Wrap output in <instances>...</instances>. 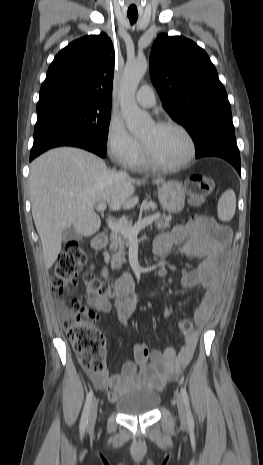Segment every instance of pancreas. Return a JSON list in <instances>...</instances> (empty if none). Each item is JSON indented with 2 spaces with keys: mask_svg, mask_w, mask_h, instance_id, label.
Wrapping results in <instances>:
<instances>
[{
  "mask_svg": "<svg viewBox=\"0 0 263 465\" xmlns=\"http://www.w3.org/2000/svg\"><path fill=\"white\" fill-rule=\"evenodd\" d=\"M156 215H159L158 213ZM143 219H140L141 221ZM170 216H163L161 218L155 219V228L157 230H165L170 227ZM128 227H132V224H127ZM129 246V238L119 232H112L110 235V250L113 251V254L110 257L108 252H104V258L106 262L111 260V267L115 269H120L122 263L125 260L126 249Z\"/></svg>",
  "mask_w": 263,
  "mask_h": 465,
  "instance_id": "cf45deb5",
  "label": "pancreas"
}]
</instances>
